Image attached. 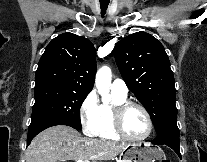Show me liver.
<instances>
[{"mask_svg":"<svg viewBox=\"0 0 207 162\" xmlns=\"http://www.w3.org/2000/svg\"><path fill=\"white\" fill-rule=\"evenodd\" d=\"M128 144L82 137L75 129L56 125L39 133L27 148L26 162L112 160Z\"/></svg>","mask_w":207,"mask_h":162,"instance_id":"6515ba94","label":"liver"}]
</instances>
